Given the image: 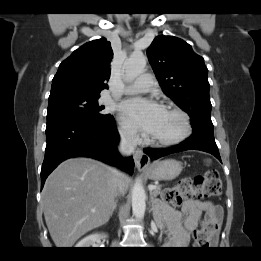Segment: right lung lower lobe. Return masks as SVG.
<instances>
[{"instance_id": "98d812e1", "label": "right lung lower lobe", "mask_w": 261, "mask_h": 261, "mask_svg": "<svg viewBox=\"0 0 261 261\" xmlns=\"http://www.w3.org/2000/svg\"><path fill=\"white\" fill-rule=\"evenodd\" d=\"M47 145L41 169V188L47 176L64 160L71 157H91L120 167L130 174L134 169L132 157L123 159L117 151L119 134L115 120H95L65 117L47 121Z\"/></svg>"}]
</instances>
